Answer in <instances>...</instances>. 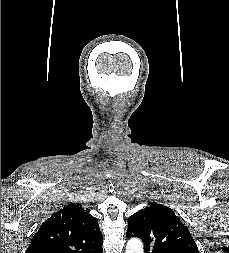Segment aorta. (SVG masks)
Segmentation results:
<instances>
[{
	"label": "aorta",
	"instance_id": "762f6f07",
	"mask_svg": "<svg viewBox=\"0 0 229 253\" xmlns=\"http://www.w3.org/2000/svg\"><path fill=\"white\" fill-rule=\"evenodd\" d=\"M126 253H143V244L139 239L133 238L127 242Z\"/></svg>",
	"mask_w": 229,
	"mask_h": 253
}]
</instances>
